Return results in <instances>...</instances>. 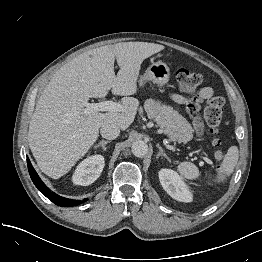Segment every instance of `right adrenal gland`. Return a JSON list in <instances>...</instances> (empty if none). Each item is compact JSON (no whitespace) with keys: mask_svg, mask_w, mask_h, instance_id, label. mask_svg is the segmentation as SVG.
<instances>
[{"mask_svg":"<svg viewBox=\"0 0 262 262\" xmlns=\"http://www.w3.org/2000/svg\"><path fill=\"white\" fill-rule=\"evenodd\" d=\"M110 140H101L97 145L94 146L95 149L102 147L103 151H106V144L110 143Z\"/></svg>","mask_w":262,"mask_h":262,"instance_id":"right-adrenal-gland-1","label":"right adrenal gland"}]
</instances>
